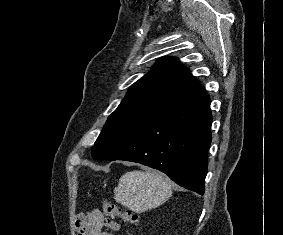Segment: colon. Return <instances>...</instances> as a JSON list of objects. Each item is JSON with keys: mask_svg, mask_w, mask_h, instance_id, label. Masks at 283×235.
I'll return each mask as SVG.
<instances>
[{"mask_svg": "<svg viewBox=\"0 0 283 235\" xmlns=\"http://www.w3.org/2000/svg\"><path fill=\"white\" fill-rule=\"evenodd\" d=\"M103 211L106 216L110 218H119L126 223L137 225L139 223V217L130 211H123L115 203L104 200L103 201Z\"/></svg>", "mask_w": 283, "mask_h": 235, "instance_id": "colon-1", "label": "colon"}]
</instances>
